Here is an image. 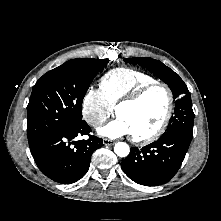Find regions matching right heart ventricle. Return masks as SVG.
I'll return each instance as SVG.
<instances>
[{
	"label": "right heart ventricle",
	"mask_w": 221,
	"mask_h": 221,
	"mask_svg": "<svg viewBox=\"0 0 221 221\" xmlns=\"http://www.w3.org/2000/svg\"><path fill=\"white\" fill-rule=\"evenodd\" d=\"M150 75L128 67H119L105 73L100 79V90L114 108L124 97L141 86L154 82Z\"/></svg>",
	"instance_id": "1"
}]
</instances>
